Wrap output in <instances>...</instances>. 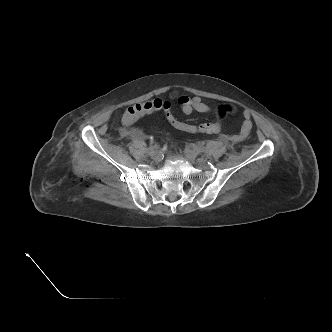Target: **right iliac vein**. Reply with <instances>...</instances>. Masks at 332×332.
I'll return each instance as SVG.
<instances>
[{
    "label": "right iliac vein",
    "instance_id": "63e3f726",
    "mask_svg": "<svg viewBox=\"0 0 332 332\" xmlns=\"http://www.w3.org/2000/svg\"><path fill=\"white\" fill-rule=\"evenodd\" d=\"M149 154H150L152 157H156V156H157V152H156V151H150Z\"/></svg>",
    "mask_w": 332,
    "mask_h": 332
}]
</instances>
